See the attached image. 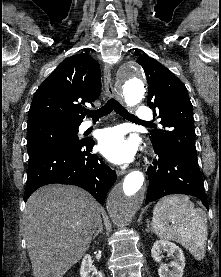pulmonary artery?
<instances>
[{"label": "pulmonary artery", "mask_w": 221, "mask_h": 277, "mask_svg": "<svg viewBox=\"0 0 221 277\" xmlns=\"http://www.w3.org/2000/svg\"><path fill=\"white\" fill-rule=\"evenodd\" d=\"M136 117L142 121L148 122L149 120L152 119V111L146 106H141L138 108V110L136 112ZM93 125H94L93 122L88 121L82 125V128L88 129V128L92 127Z\"/></svg>", "instance_id": "pulmonary-artery-1"}]
</instances>
